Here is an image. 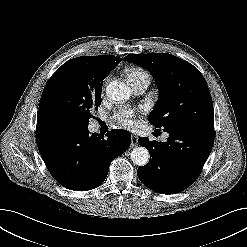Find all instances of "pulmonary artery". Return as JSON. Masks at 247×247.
Masks as SVG:
<instances>
[{
    "mask_svg": "<svg viewBox=\"0 0 247 247\" xmlns=\"http://www.w3.org/2000/svg\"><path fill=\"white\" fill-rule=\"evenodd\" d=\"M150 84L149 76H140L130 81V85L135 94H141Z\"/></svg>",
    "mask_w": 247,
    "mask_h": 247,
    "instance_id": "obj_1",
    "label": "pulmonary artery"
}]
</instances>
